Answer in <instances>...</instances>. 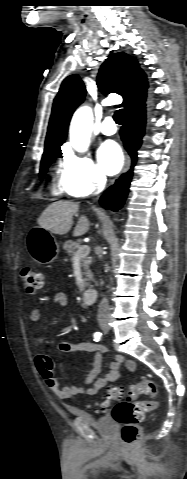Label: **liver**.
I'll use <instances>...</instances> for the list:
<instances>
[{"label":"liver","instance_id":"liver-1","mask_svg":"<svg viewBox=\"0 0 187 479\" xmlns=\"http://www.w3.org/2000/svg\"><path fill=\"white\" fill-rule=\"evenodd\" d=\"M78 210L79 204L76 202H53L42 212L37 222L41 228L53 234L64 235L70 231L73 224V215ZM89 227L88 218L81 216L74 228L73 235L81 236L89 230Z\"/></svg>","mask_w":187,"mask_h":479}]
</instances>
